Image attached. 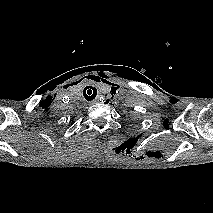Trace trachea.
Masks as SVG:
<instances>
[{
  "label": "trachea",
  "mask_w": 213,
  "mask_h": 213,
  "mask_svg": "<svg viewBox=\"0 0 213 213\" xmlns=\"http://www.w3.org/2000/svg\"><path fill=\"white\" fill-rule=\"evenodd\" d=\"M83 94L86 100H93L97 95V90L94 87H86Z\"/></svg>",
  "instance_id": "1"
}]
</instances>
